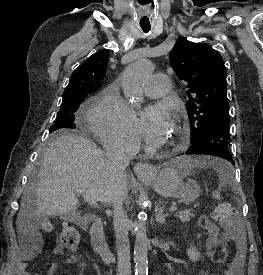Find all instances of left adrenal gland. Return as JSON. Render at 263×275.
<instances>
[{
	"instance_id": "1",
	"label": "left adrenal gland",
	"mask_w": 263,
	"mask_h": 275,
	"mask_svg": "<svg viewBox=\"0 0 263 275\" xmlns=\"http://www.w3.org/2000/svg\"><path fill=\"white\" fill-rule=\"evenodd\" d=\"M163 210H164V206L159 207V209H157V212H156L155 220L160 224H164L166 221V217L169 216V214H163Z\"/></svg>"
}]
</instances>
